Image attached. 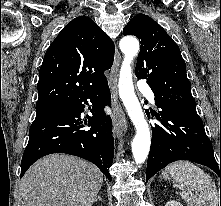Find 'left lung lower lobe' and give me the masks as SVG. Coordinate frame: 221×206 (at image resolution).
<instances>
[{"label":"left lung lower lobe","mask_w":221,"mask_h":206,"mask_svg":"<svg viewBox=\"0 0 221 206\" xmlns=\"http://www.w3.org/2000/svg\"><path fill=\"white\" fill-rule=\"evenodd\" d=\"M156 105L161 111L155 116L161 123L152 127L146 181L177 160H189L208 166L221 180V162L219 165L215 160L212 144L197 112L173 110L157 102ZM146 113L149 116V112Z\"/></svg>","instance_id":"0a47b994"}]
</instances>
